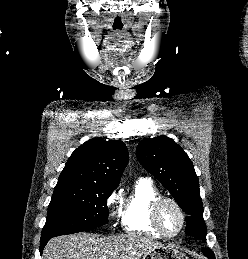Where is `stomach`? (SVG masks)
<instances>
[{"label":"stomach","mask_w":248,"mask_h":259,"mask_svg":"<svg viewBox=\"0 0 248 259\" xmlns=\"http://www.w3.org/2000/svg\"><path fill=\"white\" fill-rule=\"evenodd\" d=\"M143 259H189V257L175 248L161 246L149 251Z\"/></svg>","instance_id":"1"}]
</instances>
